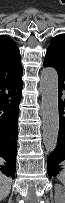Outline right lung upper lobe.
Listing matches in <instances>:
<instances>
[{"instance_id":"obj_1","label":"right lung upper lobe","mask_w":65,"mask_h":203,"mask_svg":"<svg viewBox=\"0 0 65 203\" xmlns=\"http://www.w3.org/2000/svg\"><path fill=\"white\" fill-rule=\"evenodd\" d=\"M22 70L16 43L10 37L0 36V75H11Z\"/></svg>"}]
</instances>
